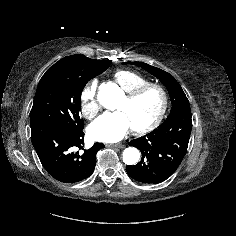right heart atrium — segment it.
I'll list each match as a JSON object with an SVG mask.
<instances>
[{"label":"right heart atrium","instance_id":"right-heart-atrium-1","mask_svg":"<svg viewBox=\"0 0 236 236\" xmlns=\"http://www.w3.org/2000/svg\"><path fill=\"white\" fill-rule=\"evenodd\" d=\"M97 80H91L83 88L80 95V108L82 115L88 119H93L100 111V104L97 99Z\"/></svg>","mask_w":236,"mask_h":236}]
</instances>
